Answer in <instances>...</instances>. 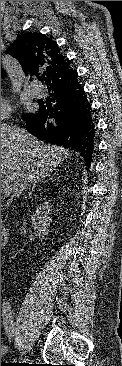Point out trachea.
I'll list each match as a JSON object with an SVG mask.
<instances>
[{
  "instance_id": "3493384b",
  "label": "trachea",
  "mask_w": 122,
  "mask_h": 366,
  "mask_svg": "<svg viewBox=\"0 0 122 366\" xmlns=\"http://www.w3.org/2000/svg\"><path fill=\"white\" fill-rule=\"evenodd\" d=\"M39 80L43 82V81L46 80V77L42 76V77L39 78Z\"/></svg>"
}]
</instances>
